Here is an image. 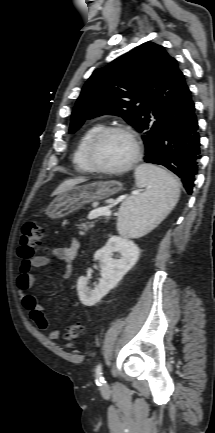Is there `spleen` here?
Listing matches in <instances>:
<instances>
[{
    "label": "spleen",
    "mask_w": 215,
    "mask_h": 433,
    "mask_svg": "<svg viewBox=\"0 0 215 433\" xmlns=\"http://www.w3.org/2000/svg\"><path fill=\"white\" fill-rule=\"evenodd\" d=\"M135 180L138 187L145 188V192L129 197L121 204L117 222L118 232L131 238L153 230L172 211L180 196L177 180L155 165L138 166Z\"/></svg>",
    "instance_id": "3e777b00"
}]
</instances>
